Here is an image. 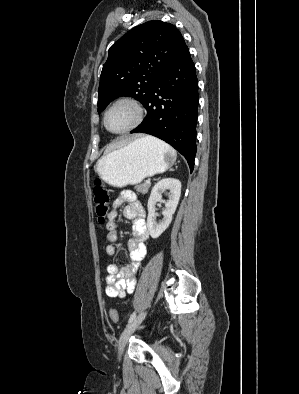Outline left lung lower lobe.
I'll return each instance as SVG.
<instances>
[{"instance_id":"1","label":"left lung lower lobe","mask_w":299,"mask_h":394,"mask_svg":"<svg viewBox=\"0 0 299 394\" xmlns=\"http://www.w3.org/2000/svg\"><path fill=\"white\" fill-rule=\"evenodd\" d=\"M198 79L186 46L162 72L144 107L147 116L131 133L142 132L173 146L193 171L196 154Z\"/></svg>"}]
</instances>
